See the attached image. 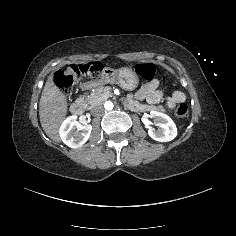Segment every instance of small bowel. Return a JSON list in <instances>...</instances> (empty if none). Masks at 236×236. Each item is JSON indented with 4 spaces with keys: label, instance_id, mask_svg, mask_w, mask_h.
Here are the masks:
<instances>
[{
    "label": "small bowel",
    "instance_id": "obj_1",
    "mask_svg": "<svg viewBox=\"0 0 236 236\" xmlns=\"http://www.w3.org/2000/svg\"><path fill=\"white\" fill-rule=\"evenodd\" d=\"M159 81L154 79L144 86L137 92L136 99H146L149 104L159 103L165 96L162 91L158 89ZM185 94L181 91H175L166 97V104L169 109H174L178 103L185 101Z\"/></svg>",
    "mask_w": 236,
    "mask_h": 236
}]
</instances>
